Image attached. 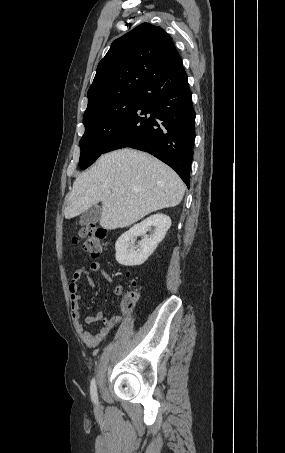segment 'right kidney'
Masks as SVG:
<instances>
[{"mask_svg": "<svg viewBox=\"0 0 285 453\" xmlns=\"http://www.w3.org/2000/svg\"><path fill=\"white\" fill-rule=\"evenodd\" d=\"M171 226V219L165 214H154L123 233L115 244L116 260L125 266L143 264L164 239ZM151 230L150 236L146 232ZM144 236L138 246H134L137 236Z\"/></svg>", "mask_w": 285, "mask_h": 453, "instance_id": "right-kidney-1", "label": "right kidney"}]
</instances>
